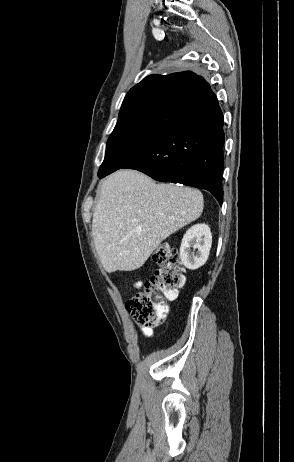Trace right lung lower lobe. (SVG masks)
Returning <instances> with one entry per match:
<instances>
[{
	"mask_svg": "<svg viewBox=\"0 0 294 462\" xmlns=\"http://www.w3.org/2000/svg\"><path fill=\"white\" fill-rule=\"evenodd\" d=\"M185 99L186 106L168 127L121 168L139 170L162 182L206 189L222 205L223 114L211 88L203 94H186Z\"/></svg>",
	"mask_w": 294,
	"mask_h": 462,
	"instance_id": "98d812e1",
	"label": "right lung lower lobe"
}]
</instances>
